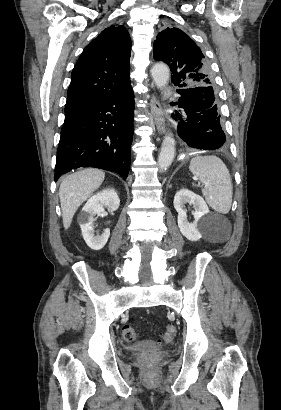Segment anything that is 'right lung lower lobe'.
I'll list each match as a JSON object with an SVG mask.
<instances>
[{
  "label": "right lung lower lobe",
  "mask_w": 281,
  "mask_h": 410,
  "mask_svg": "<svg viewBox=\"0 0 281 410\" xmlns=\"http://www.w3.org/2000/svg\"><path fill=\"white\" fill-rule=\"evenodd\" d=\"M133 112L134 95L130 85L65 116L57 149L55 181L79 167L113 171L126 178L130 169Z\"/></svg>",
  "instance_id": "1"
}]
</instances>
